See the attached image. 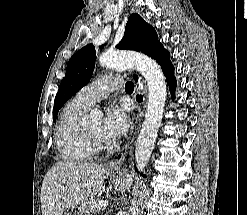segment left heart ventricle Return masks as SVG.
Listing matches in <instances>:
<instances>
[{
    "label": "left heart ventricle",
    "instance_id": "b2bd125f",
    "mask_svg": "<svg viewBox=\"0 0 247 215\" xmlns=\"http://www.w3.org/2000/svg\"><path fill=\"white\" fill-rule=\"evenodd\" d=\"M89 132L92 134L98 135V136H103V126L101 122H98L96 124H93L87 129Z\"/></svg>",
    "mask_w": 247,
    "mask_h": 215
}]
</instances>
